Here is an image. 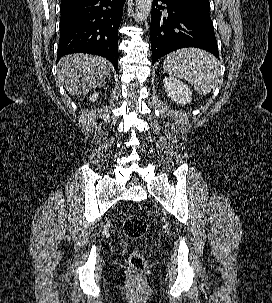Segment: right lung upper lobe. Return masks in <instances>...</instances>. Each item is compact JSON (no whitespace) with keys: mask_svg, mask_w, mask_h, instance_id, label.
I'll list each match as a JSON object with an SVG mask.
<instances>
[{"mask_svg":"<svg viewBox=\"0 0 272 303\" xmlns=\"http://www.w3.org/2000/svg\"><path fill=\"white\" fill-rule=\"evenodd\" d=\"M80 1H82V0H61L60 8H65V7L71 6Z\"/></svg>","mask_w":272,"mask_h":303,"instance_id":"obj_1","label":"right lung upper lobe"}]
</instances>
